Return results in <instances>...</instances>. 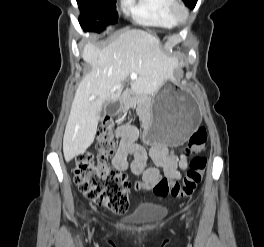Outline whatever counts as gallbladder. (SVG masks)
Here are the masks:
<instances>
[{
    "label": "gallbladder",
    "mask_w": 264,
    "mask_h": 247,
    "mask_svg": "<svg viewBox=\"0 0 264 247\" xmlns=\"http://www.w3.org/2000/svg\"><path fill=\"white\" fill-rule=\"evenodd\" d=\"M100 113H99V115H101V116H99L100 118H105V113H106V111H105V109H101V111H99Z\"/></svg>",
    "instance_id": "gallbladder-1"
}]
</instances>
